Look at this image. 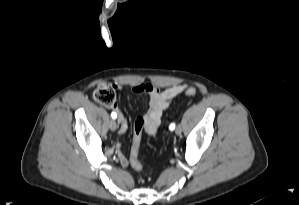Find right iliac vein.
<instances>
[{
    "label": "right iliac vein",
    "instance_id": "right-iliac-vein-1",
    "mask_svg": "<svg viewBox=\"0 0 299 205\" xmlns=\"http://www.w3.org/2000/svg\"><path fill=\"white\" fill-rule=\"evenodd\" d=\"M109 128H110V130L111 131H116V129H117V123H116V121L115 120H111L110 122H109Z\"/></svg>",
    "mask_w": 299,
    "mask_h": 205
}]
</instances>
